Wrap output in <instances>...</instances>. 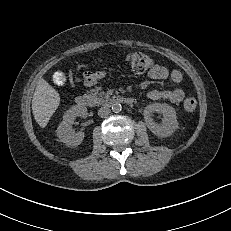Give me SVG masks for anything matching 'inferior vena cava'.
Returning a JSON list of instances; mask_svg holds the SVG:
<instances>
[{"instance_id": "obj_1", "label": "inferior vena cava", "mask_w": 231, "mask_h": 231, "mask_svg": "<svg viewBox=\"0 0 231 231\" xmlns=\"http://www.w3.org/2000/svg\"><path fill=\"white\" fill-rule=\"evenodd\" d=\"M110 108L108 106H102L99 110H98V115L101 118H105L110 114Z\"/></svg>"}]
</instances>
